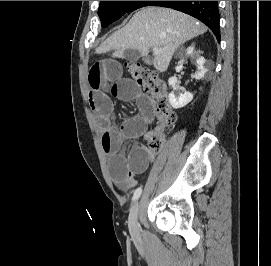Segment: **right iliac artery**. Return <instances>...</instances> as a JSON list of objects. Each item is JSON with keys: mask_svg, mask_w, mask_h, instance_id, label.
I'll return each instance as SVG.
<instances>
[{"mask_svg": "<svg viewBox=\"0 0 271 266\" xmlns=\"http://www.w3.org/2000/svg\"><path fill=\"white\" fill-rule=\"evenodd\" d=\"M141 193H142V188L141 187L137 188L132 198L133 201H136L140 197Z\"/></svg>", "mask_w": 271, "mask_h": 266, "instance_id": "obj_1", "label": "right iliac artery"}]
</instances>
